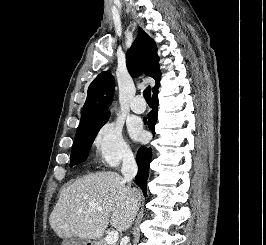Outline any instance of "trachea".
Instances as JSON below:
<instances>
[{
    "label": "trachea",
    "mask_w": 266,
    "mask_h": 245,
    "mask_svg": "<svg viewBox=\"0 0 266 245\" xmlns=\"http://www.w3.org/2000/svg\"><path fill=\"white\" fill-rule=\"evenodd\" d=\"M143 95H144L146 102L151 103V88L150 87L145 88Z\"/></svg>",
    "instance_id": "trachea-1"
}]
</instances>
